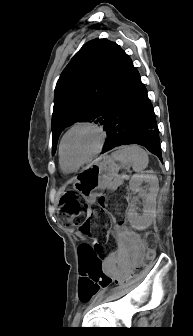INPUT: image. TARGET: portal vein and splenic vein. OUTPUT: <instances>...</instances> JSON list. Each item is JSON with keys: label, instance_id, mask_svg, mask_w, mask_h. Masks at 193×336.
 <instances>
[{"label": "portal vein and splenic vein", "instance_id": "18ae733b", "mask_svg": "<svg viewBox=\"0 0 193 336\" xmlns=\"http://www.w3.org/2000/svg\"><path fill=\"white\" fill-rule=\"evenodd\" d=\"M122 177H126V175L123 174Z\"/></svg>", "mask_w": 193, "mask_h": 336}]
</instances>
